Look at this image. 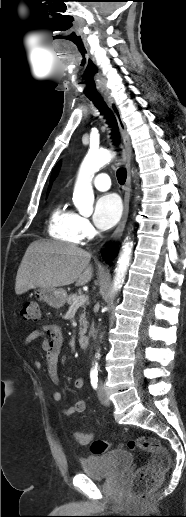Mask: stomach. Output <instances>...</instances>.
Returning a JSON list of instances; mask_svg holds the SVG:
<instances>
[{
	"instance_id": "0dacf381",
	"label": "stomach",
	"mask_w": 186,
	"mask_h": 517,
	"mask_svg": "<svg viewBox=\"0 0 186 517\" xmlns=\"http://www.w3.org/2000/svg\"><path fill=\"white\" fill-rule=\"evenodd\" d=\"M35 296L39 301H43L53 308L62 307L67 299V293L64 289L52 287L39 288L35 292Z\"/></svg>"
}]
</instances>
